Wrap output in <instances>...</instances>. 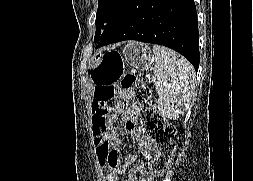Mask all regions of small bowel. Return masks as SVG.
Instances as JSON below:
<instances>
[{
	"label": "small bowel",
	"instance_id": "small-bowel-1",
	"mask_svg": "<svg viewBox=\"0 0 253 181\" xmlns=\"http://www.w3.org/2000/svg\"><path fill=\"white\" fill-rule=\"evenodd\" d=\"M117 100L118 103L110 108L105 118L93 117L92 122L94 146L103 178L105 181H152V174L147 169V163L156 155V147L148 138L143 137L140 132L135 130V120L128 115L134 108L132 92H119ZM127 109L129 110L127 111ZM121 115L125 116L123 131L131 134L133 140L141 146L140 153H130L125 156L122 162L119 160L118 150L120 140L109 131ZM139 157L142 158V162L136 164ZM129 167L131 168L128 174L124 176Z\"/></svg>",
	"mask_w": 253,
	"mask_h": 181
}]
</instances>
